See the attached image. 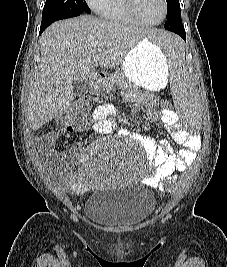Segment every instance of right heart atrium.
<instances>
[{
    "instance_id": "right-heart-atrium-1",
    "label": "right heart atrium",
    "mask_w": 227,
    "mask_h": 267,
    "mask_svg": "<svg viewBox=\"0 0 227 267\" xmlns=\"http://www.w3.org/2000/svg\"><path fill=\"white\" fill-rule=\"evenodd\" d=\"M106 0H85V2L97 12V10L105 3Z\"/></svg>"
}]
</instances>
